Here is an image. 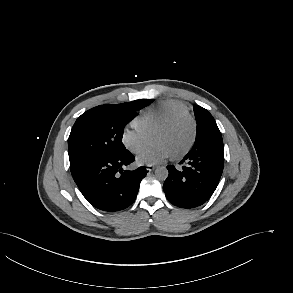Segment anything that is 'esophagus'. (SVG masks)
<instances>
[{"label":"esophagus","mask_w":293,"mask_h":293,"mask_svg":"<svg viewBox=\"0 0 293 293\" xmlns=\"http://www.w3.org/2000/svg\"><path fill=\"white\" fill-rule=\"evenodd\" d=\"M156 167L154 166V165H147L146 166V169L148 170V171H152V170H154Z\"/></svg>","instance_id":"esophagus-1"}]
</instances>
